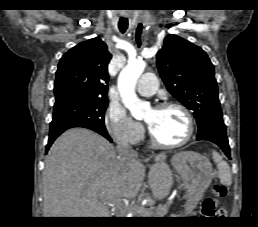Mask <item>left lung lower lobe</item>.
<instances>
[{
    "instance_id": "left-lung-lower-lobe-1",
    "label": "left lung lower lobe",
    "mask_w": 258,
    "mask_h": 227,
    "mask_svg": "<svg viewBox=\"0 0 258 227\" xmlns=\"http://www.w3.org/2000/svg\"><path fill=\"white\" fill-rule=\"evenodd\" d=\"M197 140H207L217 144L224 151L226 156L230 158V147L228 144V139L226 134L218 133V132L209 133L202 136L201 138H197Z\"/></svg>"
}]
</instances>
